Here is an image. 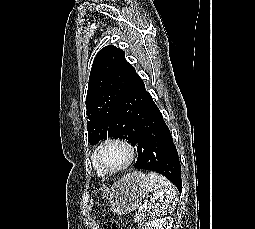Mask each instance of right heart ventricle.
<instances>
[{
	"label": "right heart ventricle",
	"instance_id": "1",
	"mask_svg": "<svg viewBox=\"0 0 255 229\" xmlns=\"http://www.w3.org/2000/svg\"><path fill=\"white\" fill-rule=\"evenodd\" d=\"M95 169L97 171V173L101 176L105 175L106 173L102 170V168L95 166Z\"/></svg>",
	"mask_w": 255,
	"mask_h": 229
}]
</instances>
